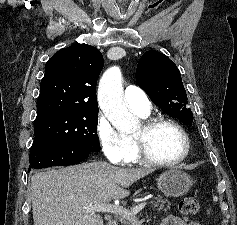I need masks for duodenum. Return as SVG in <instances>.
<instances>
[{"label":"duodenum","mask_w":237,"mask_h":225,"mask_svg":"<svg viewBox=\"0 0 237 225\" xmlns=\"http://www.w3.org/2000/svg\"><path fill=\"white\" fill-rule=\"evenodd\" d=\"M108 225H117V222L116 221H110Z\"/></svg>","instance_id":"410a0bca"}]
</instances>
